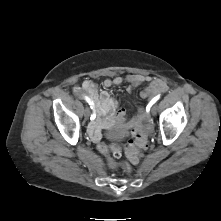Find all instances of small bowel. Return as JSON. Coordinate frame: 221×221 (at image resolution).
<instances>
[{"mask_svg": "<svg viewBox=\"0 0 221 221\" xmlns=\"http://www.w3.org/2000/svg\"><path fill=\"white\" fill-rule=\"evenodd\" d=\"M124 81L129 83L130 91L143 83H148V86L141 92V97L146 99L163 93L168 88L164 80L142 74H130L125 78L121 76L106 78L103 86L110 88L121 85ZM74 93L79 98H88L92 103L97 116L96 122L89 126V134L93 140L98 141L101 139L102 129L110 128L115 121L125 119L126 111L123 108H119L117 101L108 91H99L93 81H84L80 86L74 88ZM144 116V111L140 110L139 115L133 121L134 124H139Z\"/></svg>", "mask_w": 221, "mask_h": 221, "instance_id": "small-bowel-1", "label": "small bowel"}]
</instances>
